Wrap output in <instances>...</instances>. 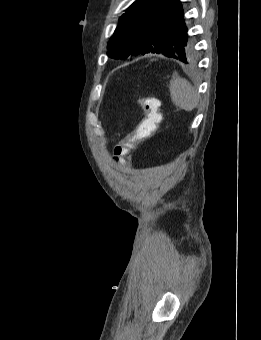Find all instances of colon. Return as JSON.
<instances>
[{
  "mask_svg": "<svg viewBox=\"0 0 261 340\" xmlns=\"http://www.w3.org/2000/svg\"><path fill=\"white\" fill-rule=\"evenodd\" d=\"M135 104L144 111V117L136 128L116 145L114 149V159L116 160L131 151L138 143L149 138L161 122V103L158 98L141 97L136 100Z\"/></svg>",
  "mask_w": 261,
  "mask_h": 340,
  "instance_id": "obj_1",
  "label": "colon"
}]
</instances>
